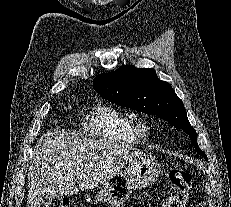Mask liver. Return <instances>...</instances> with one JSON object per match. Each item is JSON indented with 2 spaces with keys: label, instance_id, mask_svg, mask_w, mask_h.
<instances>
[{
  "label": "liver",
  "instance_id": "obj_1",
  "mask_svg": "<svg viewBox=\"0 0 231 207\" xmlns=\"http://www.w3.org/2000/svg\"><path fill=\"white\" fill-rule=\"evenodd\" d=\"M142 154L123 144L69 131L47 133L34 148L27 207H41L47 198L93 189L112 177L124 162Z\"/></svg>",
  "mask_w": 231,
  "mask_h": 207
}]
</instances>
